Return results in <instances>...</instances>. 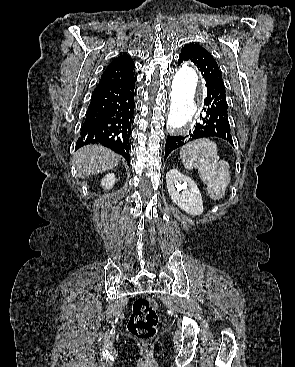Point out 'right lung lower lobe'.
Here are the masks:
<instances>
[{
    "label": "right lung lower lobe",
    "mask_w": 295,
    "mask_h": 367,
    "mask_svg": "<svg viewBox=\"0 0 295 367\" xmlns=\"http://www.w3.org/2000/svg\"><path fill=\"white\" fill-rule=\"evenodd\" d=\"M134 85L135 81L97 85L75 149L87 144H102L130 162L129 140L136 94Z\"/></svg>",
    "instance_id": "obj_1"
}]
</instances>
